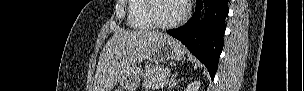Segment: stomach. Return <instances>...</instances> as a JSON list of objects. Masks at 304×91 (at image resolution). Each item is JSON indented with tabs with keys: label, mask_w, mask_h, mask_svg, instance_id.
Masks as SVG:
<instances>
[{
	"label": "stomach",
	"mask_w": 304,
	"mask_h": 91,
	"mask_svg": "<svg viewBox=\"0 0 304 91\" xmlns=\"http://www.w3.org/2000/svg\"><path fill=\"white\" fill-rule=\"evenodd\" d=\"M182 44L174 38L168 37L157 44L149 55L154 63H163L168 60H182L185 56ZM141 70L137 65L131 66L118 80L122 91H136L140 84Z\"/></svg>",
	"instance_id": "obj_1"
}]
</instances>
